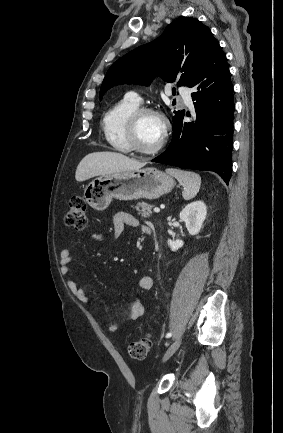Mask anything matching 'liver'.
<instances>
[{
    "instance_id": "1",
    "label": "liver",
    "mask_w": 283,
    "mask_h": 433,
    "mask_svg": "<svg viewBox=\"0 0 283 433\" xmlns=\"http://www.w3.org/2000/svg\"><path fill=\"white\" fill-rule=\"evenodd\" d=\"M146 162H139L136 158H129L121 152H90L80 160L76 172V180H87L92 176L100 174H113V172H123V170H138Z\"/></svg>"
}]
</instances>
